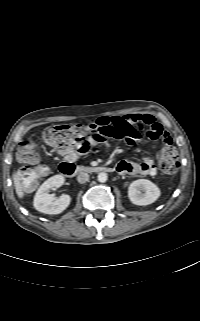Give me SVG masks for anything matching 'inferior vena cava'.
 <instances>
[{
	"label": "inferior vena cava",
	"mask_w": 200,
	"mask_h": 321,
	"mask_svg": "<svg viewBox=\"0 0 200 321\" xmlns=\"http://www.w3.org/2000/svg\"><path fill=\"white\" fill-rule=\"evenodd\" d=\"M89 180V175L88 173L85 172H81L78 176H77V181L81 184L87 182Z\"/></svg>",
	"instance_id": "inferior-vena-cava-1"
}]
</instances>
